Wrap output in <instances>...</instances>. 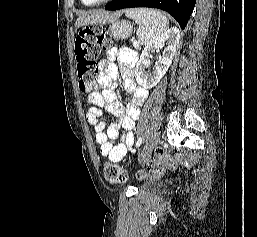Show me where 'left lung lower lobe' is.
I'll use <instances>...</instances> for the list:
<instances>
[{
  "instance_id": "obj_1",
  "label": "left lung lower lobe",
  "mask_w": 257,
  "mask_h": 237,
  "mask_svg": "<svg viewBox=\"0 0 257 237\" xmlns=\"http://www.w3.org/2000/svg\"><path fill=\"white\" fill-rule=\"evenodd\" d=\"M195 3L196 0H112L105 6V9L119 10L134 7L158 8L172 15L181 28L184 29Z\"/></svg>"
}]
</instances>
